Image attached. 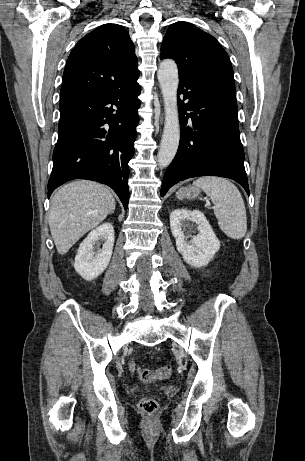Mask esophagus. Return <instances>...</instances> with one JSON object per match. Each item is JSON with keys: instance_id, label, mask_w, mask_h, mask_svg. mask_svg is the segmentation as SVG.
Wrapping results in <instances>:
<instances>
[{"instance_id": "34e87169", "label": "esophagus", "mask_w": 305, "mask_h": 461, "mask_svg": "<svg viewBox=\"0 0 305 461\" xmlns=\"http://www.w3.org/2000/svg\"><path fill=\"white\" fill-rule=\"evenodd\" d=\"M161 123L163 122V115L161 116V119H160Z\"/></svg>"}]
</instances>
